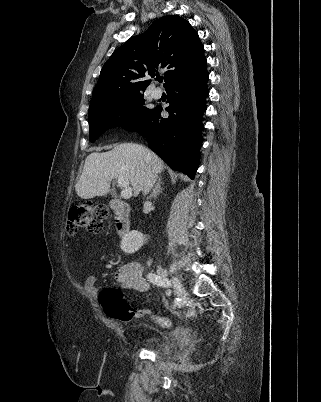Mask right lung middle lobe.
Listing matches in <instances>:
<instances>
[{
	"instance_id": "1",
	"label": "right lung middle lobe",
	"mask_w": 321,
	"mask_h": 402,
	"mask_svg": "<svg viewBox=\"0 0 321 402\" xmlns=\"http://www.w3.org/2000/svg\"><path fill=\"white\" fill-rule=\"evenodd\" d=\"M152 110L144 106L142 93L90 107L88 116L90 142H95L108 129L134 126Z\"/></svg>"
}]
</instances>
